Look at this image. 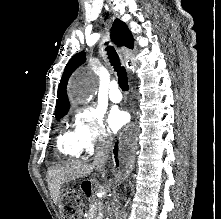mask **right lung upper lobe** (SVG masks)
Listing matches in <instances>:
<instances>
[{
	"label": "right lung upper lobe",
	"mask_w": 221,
	"mask_h": 219,
	"mask_svg": "<svg viewBox=\"0 0 221 219\" xmlns=\"http://www.w3.org/2000/svg\"><path fill=\"white\" fill-rule=\"evenodd\" d=\"M112 40L119 46H126L127 48H133V36L129 31L128 27L120 21L119 19H115L112 32H111ZM86 59V55L84 52H80L75 54L68 62L65 67L61 82L58 87V95L56 102V116L62 114L69 110L70 104L67 97V82L71 74L84 63Z\"/></svg>",
	"instance_id": "obj_1"
}]
</instances>
